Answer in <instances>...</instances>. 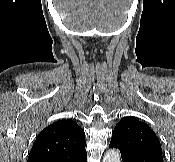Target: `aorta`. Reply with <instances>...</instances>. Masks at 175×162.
Instances as JSON below:
<instances>
[{
  "mask_svg": "<svg viewBox=\"0 0 175 162\" xmlns=\"http://www.w3.org/2000/svg\"><path fill=\"white\" fill-rule=\"evenodd\" d=\"M103 162H121L120 152L116 149L108 150L103 157Z\"/></svg>",
  "mask_w": 175,
  "mask_h": 162,
  "instance_id": "762f6f07",
  "label": "aorta"
}]
</instances>
